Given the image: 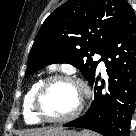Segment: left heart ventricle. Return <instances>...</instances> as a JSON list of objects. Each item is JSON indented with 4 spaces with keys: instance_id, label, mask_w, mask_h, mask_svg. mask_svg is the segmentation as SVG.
<instances>
[{
    "instance_id": "left-heart-ventricle-1",
    "label": "left heart ventricle",
    "mask_w": 136,
    "mask_h": 136,
    "mask_svg": "<svg viewBox=\"0 0 136 136\" xmlns=\"http://www.w3.org/2000/svg\"><path fill=\"white\" fill-rule=\"evenodd\" d=\"M80 93L76 86L65 81L52 82L41 100L42 111L50 117H64L78 105Z\"/></svg>"
}]
</instances>
